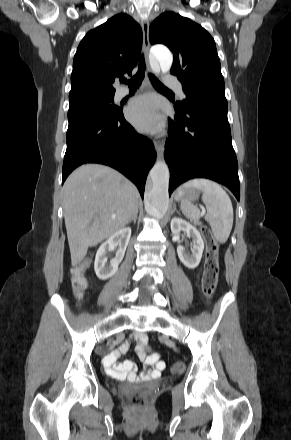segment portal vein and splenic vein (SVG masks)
<instances>
[{
	"label": "portal vein and splenic vein",
	"instance_id": "portal-vein-and-splenic-vein-1",
	"mask_svg": "<svg viewBox=\"0 0 291 440\" xmlns=\"http://www.w3.org/2000/svg\"><path fill=\"white\" fill-rule=\"evenodd\" d=\"M204 213H205V210L203 209V210H202V215H203Z\"/></svg>",
	"mask_w": 291,
	"mask_h": 440
}]
</instances>
